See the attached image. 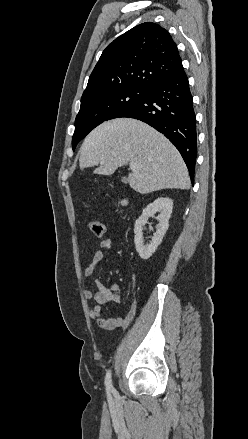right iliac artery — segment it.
Wrapping results in <instances>:
<instances>
[{
  "mask_svg": "<svg viewBox=\"0 0 248 439\" xmlns=\"http://www.w3.org/2000/svg\"><path fill=\"white\" fill-rule=\"evenodd\" d=\"M105 386H106V390L108 393L114 391V388H113L112 383H111V371L110 370L106 374Z\"/></svg>",
  "mask_w": 248,
  "mask_h": 439,
  "instance_id": "right-iliac-artery-1",
  "label": "right iliac artery"
}]
</instances>
